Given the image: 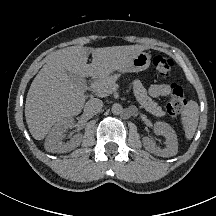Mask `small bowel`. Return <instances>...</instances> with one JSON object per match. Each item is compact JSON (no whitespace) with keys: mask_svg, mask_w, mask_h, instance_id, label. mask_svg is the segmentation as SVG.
Returning a JSON list of instances; mask_svg holds the SVG:
<instances>
[{"mask_svg":"<svg viewBox=\"0 0 216 216\" xmlns=\"http://www.w3.org/2000/svg\"><path fill=\"white\" fill-rule=\"evenodd\" d=\"M170 93V86L165 83L153 84L149 88V94L154 97H164Z\"/></svg>","mask_w":216,"mask_h":216,"instance_id":"c3829d8e","label":"small bowel"}]
</instances>
